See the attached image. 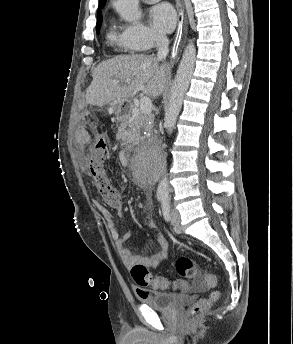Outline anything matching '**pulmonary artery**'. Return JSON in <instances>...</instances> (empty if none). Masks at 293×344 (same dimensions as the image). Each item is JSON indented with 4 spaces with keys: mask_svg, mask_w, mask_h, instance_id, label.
Here are the masks:
<instances>
[{
    "mask_svg": "<svg viewBox=\"0 0 293 344\" xmlns=\"http://www.w3.org/2000/svg\"><path fill=\"white\" fill-rule=\"evenodd\" d=\"M142 1L148 4H152V3L158 2L159 0H142Z\"/></svg>",
    "mask_w": 293,
    "mask_h": 344,
    "instance_id": "1",
    "label": "pulmonary artery"
}]
</instances>
